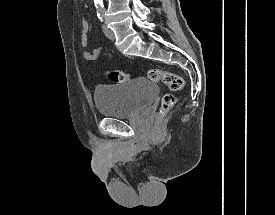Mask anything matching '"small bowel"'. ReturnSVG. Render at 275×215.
<instances>
[{
  "label": "small bowel",
  "mask_w": 275,
  "mask_h": 215,
  "mask_svg": "<svg viewBox=\"0 0 275 215\" xmlns=\"http://www.w3.org/2000/svg\"><path fill=\"white\" fill-rule=\"evenodd\" d=\"M88 28H89V23L85 17L82 18L81 20V35H80V42L83 47V52L82 55L84 59L89 60V61H94L97 60L100 56V53L102 52V47H97L92 50H88Z\"/></svg>",
  "instance_id": "c3829d8e"
}]
</instances>
